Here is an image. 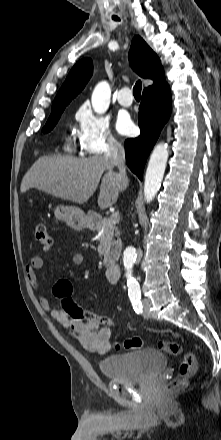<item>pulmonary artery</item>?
<instances>
[{
  "instance_id": "obj_1",
  "label": "pulmonary artery",
  "mask_w": 221,
  "mask_h": 440,
  "mask_svg": "<svg viewBox=\"0 0 221 440\" xmlns=\"http://www.w3.org/2000/svg\"><path fill=\"white\" fill-rule=\"evenodd\" d=\"M117 100L120 105L128 107L133 102L132 92L129 87H123L120 89L117 95Z\"/></svg>"
}]
</instances>
